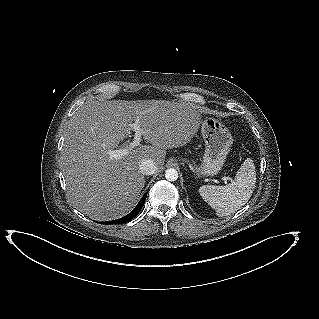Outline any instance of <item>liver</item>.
<instances>
[{
	"mask_svg": "<svg viewBox=\"0 0 319 319\" xmlns=\"http://www.w3.org/2000/svg\"><path fill=\"white\" fill-rule=\"evenodd\" d=\"M139 117L147 143L115 159L110 151L130 136ZM201 117L196 106L165 100H91L71 118L64 134L61 168L68 200L96 221L128 214L145 185L139 164L154 161L162 169L166 149L186 145L197 133ZM129 147V146H127ZM124 147V148H127Z\"/></svg>",
	"mask_w": 319,
	"mask_h": 319,
	"instance_id": "6515ba94",
	"label": "liver"
}]
</instances>
